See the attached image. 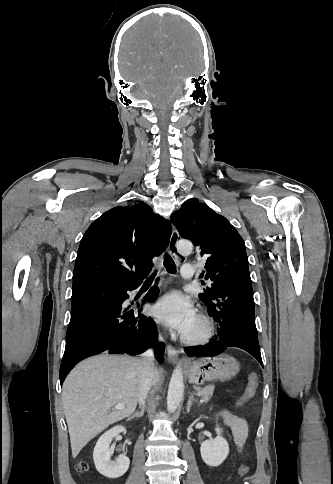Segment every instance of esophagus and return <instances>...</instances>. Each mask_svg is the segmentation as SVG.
<instances>
[{
    "label": "esophagus",
    "mask_w": 333,
    "mask_h": 484,
    "mask_svg": "<svg viewBox=\"0 0 333 484\" xmlns=\"http://www.w3.org/2000/svg\"><path fill=\"white\" fill-rule=\"evenodd\" d=\"M178 238H179V233L176 230V228L173 227L171 237L169 240L168 251L176 259L179 258V256L176 253V244H177ZM167 357H168V361L173 364L177 363L179 360L178 351L175 348H173L171 345L167 346Z\"/></svg>",
    "instance_id": "esophagus-1"
}]
</instances>
